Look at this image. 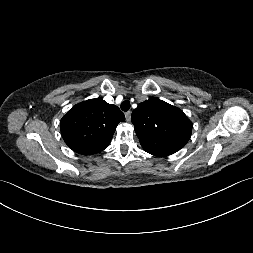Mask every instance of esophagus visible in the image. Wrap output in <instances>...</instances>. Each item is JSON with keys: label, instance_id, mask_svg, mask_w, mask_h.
Here are the masks:
<instances>
[{"label": "esophagus", "instance_id": "obj_1", "mask_svg": "<svg viewBox=\"0 0 253 253\" xmlns=\"http://www.w3.org/2000/svg\"><path fill=\"white\" fill-rule=\"evenodd\" d=\"M125 118H126V121H130V119H131V112L130 111L125 113Z\"/></svg>", "mask_w": 253, "mask_h": 253}]
</instances>
